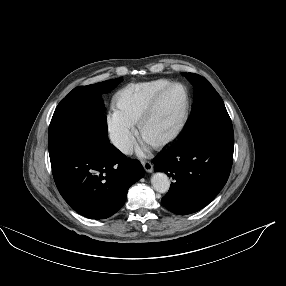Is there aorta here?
<instances>
[{"instance_id": "aorta-1", "label": "aorta", "mask_w": 286, "mask_h": 286, "mask_svg": "<svg viewBox=\"0 0 286 286\" xmlns=\"http://www.w3.org/2000/svg\"><path fill=\"white\" fill-rule=\"evenodd\" d=\"M153 188L159 193H166L170 188V180L165 173L158 172L151 178Z\"/></svg>"}]
</instances>
